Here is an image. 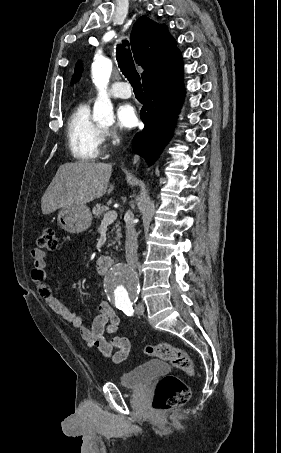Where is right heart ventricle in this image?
Segmentation results:
<instances>
[{
	"instance_id": "1",
	"label": "right heart ventricle",
	"mask_w": 281,
	"mask_h": 453,
	"mask_svg": "<svg viewBox=\"0 0 281 453\" xmlns=\"http://www.w3.org/2000/svg\"><path fill=\"white\" fill-rule=\"evenodd\" d=\"M67 136L73 156L82 161L97 160L105 138V130L91 115L89 102H82L69 115Z\"/></svg>"
}]
</instances>
